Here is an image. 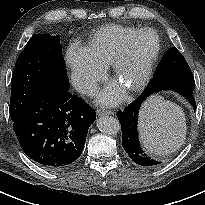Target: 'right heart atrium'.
I'll list each match as a JSON object with an SVG mask.
<instances>
[{"label": "right heart atrium", "mask_w": 205, "mask_h": 205, "mask_svg": "<svg viewBox=\"0 0 205 205\" xmlns=\"http://www.w3.org/2000/svg\"><path fill=\"white\" fill-rule=\"evenodd\" d=\"M66 62L71 69V78L76 88L85 94H92L104 78L105 67L87 49L75 43L67 49Z\"/></svg>", "instance_id": "obj_1"}]
</instances>
